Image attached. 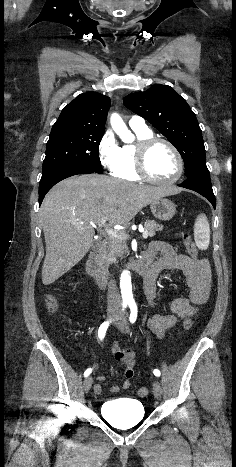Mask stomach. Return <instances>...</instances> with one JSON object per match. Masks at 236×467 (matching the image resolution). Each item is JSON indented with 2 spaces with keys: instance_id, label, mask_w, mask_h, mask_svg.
Returning a JSON list of instances; mask_svg holds the SVG:
<instances>
[{
  "instance_id": "obj_1",
  "label": "stomach",
  "mask_w": 236,
  "mask_h": 467,
  "mask_svg": "<svg viewBox=\"0 0 236 467\" xmlns=\"http://www.w3.org/2000/svg\"><path fill=\"white\" fill-rule=\"evenodd\" d=\"M150 209L155 218L163 221L172 219L176 213L175 204L166 198H159L151 202Z\"/></svg>"
}]
</instances>
